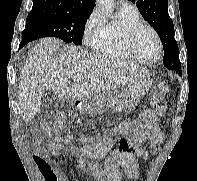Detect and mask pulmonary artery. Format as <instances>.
I'll use <instances>...</instances> for the list:
<instances>
[{
  "label": "pulmonary artery",
  "mask_w": 197,
  "mask_h": 181,
  "mask_svg": "<svg viewBox=\"0 0 197 181\" xmlns=\"http://www.w3.org/2000/svg\"><path fill=\"white\" fill-rule=\"evenodd\" d=\"M121 6H123V7H132L133 5H132V3L123 0V1H121Z\"/></svg>",
  "instance_id": "e3ab8cb5"
}]
</instances>
